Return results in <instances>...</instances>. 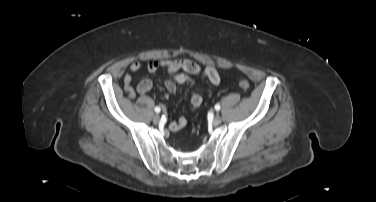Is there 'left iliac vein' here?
I'll list each match as a JSON object with an SVG mask.
<instances>
[{"mask_svg":"<svg viewBox=\"0 0 376 202\" xmlns=\"http://www.w3.org/2000/svg\"><path fill=\"white\" fill-rule=\"evenodd\" d=\"M221 122H222V118H221L220 115L217 114V115H215V116L213 117L212 123H213L215 126L219 125Z\"/></svg>","mask_w":376,"mask_h":202,"instance_id":"obj_1","label":"left iliac vein"}]
</instances>
